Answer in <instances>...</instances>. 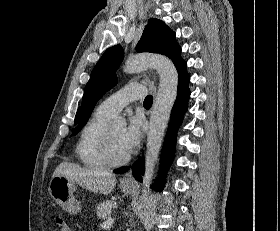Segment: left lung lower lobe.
Here are the masks:
<instances>
[{"label": "left lung lower lobe", "mask_w": 280, "mask_h": 231, "mask_svg": "<svg viewBox=\"0 0 280 231\" xmlns=\"http://www.w3.org/2000/svg\"><path fill=\"white\" fill-rule=\"evenodd\" d=\"M189 76L186 73V68L178 75V91L177 98L171 112L170 125L167 131L165 144L162 152L161 177L152 186V189L161 191L164 183V172L171 163L175 151L176 133L182 121L184 113L187 111V102L190 96L188 89ZM128 167H122L114 170L115 173H124ZM133 176L136 180H141V175L144 173V159L140 158L132 167Z\"/></svg>", "instance_id": "left-lung-lower-lobe-1"}]
</instances>
